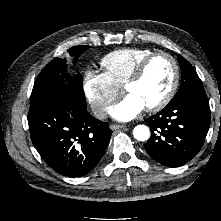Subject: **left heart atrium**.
<instances>
[{
	"label": "left heart atrium",
	"instance_id": "1",
	"mask_svg": "<svg viewBox=\"0 0 221 221\" xmlns=\"http://www.w3.org/2000/svg\"><path fill=\"white\" fill-rule=\"evenodd\" d=\"M145 109L144 103L135 95L128 94L109 109V114L119 121H129Z\"/></svg>",
	"mask_w": 221,
	"mask_h": 221
}]
</instances>
